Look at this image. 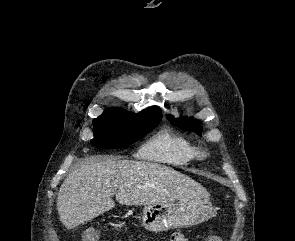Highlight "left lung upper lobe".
Masks as SVG:
<instances>
[{
	"mask_svg": "<svg viewBox=\"0 0 295 241\" xmlns=\"http://www.w3.org/2000/svg\"><path fill=\"white\" fill-rule=\"evenodd\" d=\"M167 118L176 126L183 127L185 130L194 131L197 134L200 133L201 128L197 126V122L192 119H189L185 122L186 118L173 119L171 116H167Z\"/></svg>",
	"mask_w": 295,
	"mask_h": 241,
	"instance_id": "left-lung-upper-lobe-1",
	"label": "left lung upper lobe"
}]
</instances>
